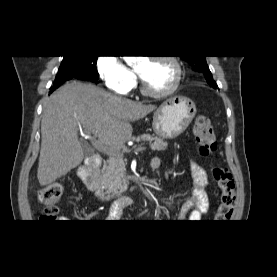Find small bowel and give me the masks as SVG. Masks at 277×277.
<instances>
[{"label": "small bowel", "instance_id": "small-bowel-1", "mask_svg": "<svg viewBox=\"0 0 277 277\" xmlns=\"http://www.w3.org/2000/svg\"><path fill=\"white\" fill-rule=\"evenodd\" d=\"M150 167L152 170L159 169L160 160L158 158H153L150 161ZM190 171L193 178V185L186 201L182 205L180 217L182 219L200 220L209 208V200L206 192L208 177L205 169L195 161L190 162ZM161 202L169 206L166 199H162ZM126 206L127 203L124 200L116 202L111 207L109 218H119Z\"/></svg>", "mask_w": 277, "mask_h": 277}]
</instances>
